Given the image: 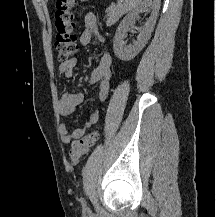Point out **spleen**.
I'll return each mask as SVG.
<instances>
[{"instance_id": "obj_1", "label": "spleen", "mask_w": 216, "mask_h": 217, "mask_svg": "<svg viewBox=\"0 0 216 217\" xmlns=\"http://www.w3.org/2000/svg\"><path fill=\"white\" fill-rule=\"evenodd\" d=\"M124 7L128 10H132L137 7L141 3V0H123Z\"/></svg>"}]
</instances>
